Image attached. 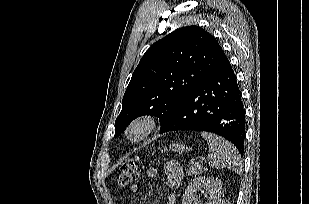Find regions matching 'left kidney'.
Wrapping results in <instances>:
<instances>
[{
	"label": "left kidney",
	"mask_w": 309,
	"mask_h": 204,
	"mask_svg": "<svg viewBox=\"0 0 309 204\" xmlns=\"http://www.w3.org/2000/svg\"><path fill=\"white\" fill-rule=\"evenodd\" d=\"M222 183L215 177H197L189 183L184 195L182 204H192L196 199V193L202 189L208 195V201L205 204H220Z\"/></svg>",
	"instance_id": "1"
}]
</instances>
